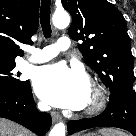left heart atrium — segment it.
Returning <instances> with one entry per match:
<instances>
[{"label":"left heart atrium","instance_id":"obj_1","mask_svg":"<svg viewBox=\"0 0 136 136\" xmlns=\"http://www.w3.org/2000/svg\"><path fill=\"white\" fill-rule=\"evenodd\" d=\"M34 89L47 104L81 109L86 105L90 86L82 70L57 63L41 67L36 72Z\"/></svg>","mask_w":136,"mask_h":136}]
</instances>
